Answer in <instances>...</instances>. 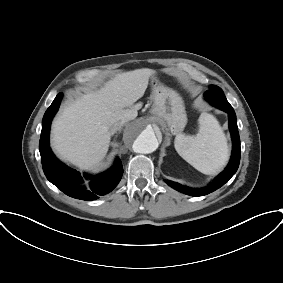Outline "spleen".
<instances>
[{
    "mask_svg": "<svg viewBox=\"0 0 283 283\" xmlns=\"http://www.w3.org/2000/svg\"><path fill=\"white\" fill-rule=\"evenodd\" d=\"M199 130L195 136L178 134L175 149L191 166L203 174L218 172L229 157L228 145L217 119L202 113L198 119Z\"/></svg>",
    "mask_w": 283,
    "mask_h": 283,
    "instance_id": "spleen-1",
    "label": "spleen"
}]
</instances>
